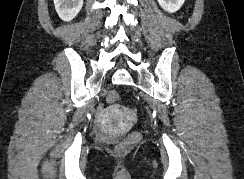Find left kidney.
<instances>
[{"label":"left kidney","instance_id":"1","mask_svg":"<svg viewBox=\"0 0 244 179\" xmlns=\"http://www.w3.org/2000/svg\"><path fill=\"white\" fill-rule=\"evenodd\" d=\"M157 2H159V6H161L165 12L174 14V12H177V10L183 6L185 0H157Z\"/></svg>","mask_w":244,"mask_h":179}]
</instances>
